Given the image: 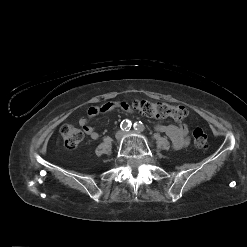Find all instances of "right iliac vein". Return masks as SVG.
Wrapping results in <instances>:
<instances>
[{"label": "right iliac vein", "instance_id": "63e3f726", "mask_svg": "<svg viewBox=\"0 0 247 247\" xmlns=\"http://www.w3.org/2000/svg\"><path fill=\"white\" fill-rule=\"evenodd\" d=\"M122 136H123V133L121 131H118L115 135L117 140H120L122 138Z\"/></svg>", "mask_w": 247, "mask_h": 247}]
</instances>
